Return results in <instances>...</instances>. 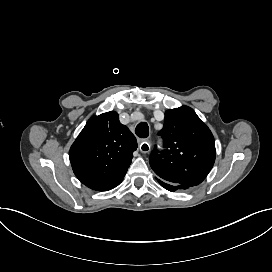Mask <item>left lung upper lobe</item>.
<instances>
[{
  "label": "left lung upper lobe",
  "mask_w": 272,
  "mask_h": 272,
  "mask_svg": "<svg viewBox=\"0 0 272 272\" xmlns=\"http://www.w3.org/2000/svg\"><path fill=\"white\" fill-rule=\"evenodd\" d=\"M164 149H154L150 165L158 178L182 187L200 184L215 162V142L210 129L188 106L165 112L159 133Z\"/></svg>",
  "instance_id": "5c2ea615"
}]
</instances>
